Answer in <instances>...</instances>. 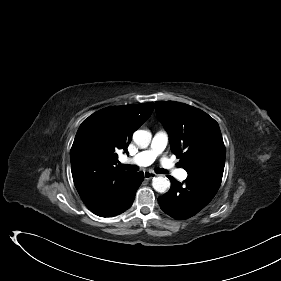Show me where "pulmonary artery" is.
<instances>
[{
    "mask_svg": "<svg viewBox=\"0 0 281 281\" xmlns=\"http://www.w3.org/2000/svg\"><path fill=\"white\" fill-rule=\"evenodd\" d=\"M169 141L167 132L158 131L153 136L151 145L148 149L139 152L135 156L125 159V161L134 163L140 166H148L165 150ZM162 167L171 172L176 178L184 180L187 177V172L183 169L174 167V164L166 158L161 161Z\"/></svg>",
    "mask_w": 281,
    "mask_h": 281,
    "instance_id": "obj_1",
    "label": "pulmonary artery"
}]
</instances>
